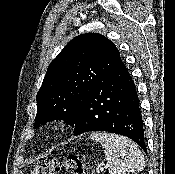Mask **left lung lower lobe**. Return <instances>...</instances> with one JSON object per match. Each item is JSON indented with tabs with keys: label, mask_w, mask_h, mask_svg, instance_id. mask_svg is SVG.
<instances>
[{
	"label": "left lung lower lobe",
	"mask_w": 175,
	"mask_h": 174,
	"mask_svg": "<svg viewBox=\"0 0 175 174\" xmlns=\"http://www.w3.org/2000/svg\"><path fill=\"white\" fill-rule=\"evenodd\" d=\"M72 126L74 135L107 131L127 136L147 152L137 90L122 60L84 95Z\"/></svg>",
	"instance_id": "left-lung-lower-lobe-1"
}]
</instances>
